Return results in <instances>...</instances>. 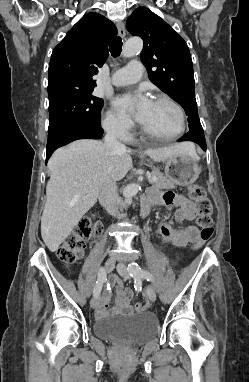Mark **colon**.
Segmentation results:
<instances>
[{"label": "colon", "instance_id": "obj_1", "mask_svg": "<svg viewBox=\"0 0 249 382\" xmlns=\"http://www.w3.org/2000/svg\"><path fill=\"white\" fill-rule=\"evenodd\" d=\"M187 196L194 202L198 219L197 225L200 228V234L194 241V248L198 249L205 245L213 235V205L207 196L204 188L200 185H191L187 188ZM94 230L92 223L83 219L76 225L74 231L65 238L58 249V257L66 264L71 265L78 261L84 253L85 245L93 237ZM138 311L145 308L142 303L135 305Z\"/></svg>", "mask_w": 249, "mask_h": 382}]
</instances>
